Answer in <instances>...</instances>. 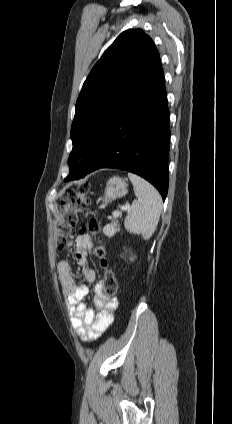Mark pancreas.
I'll list each match as a JSON object with an SVG mask.
<instances>
[{
    "label": "pancreas",
    "mask_w": 232,
    "mask_h": 424,
    "mask_svg": "<svg viewBox=\"0 0 232 424\" xmlns=\"http://www.w3.org/2000/svg\"><path fill=\"white\" fill-rule=\"evenodd\" d=\"M121 217V213L114 216V220L111 222V226L114 228L115 231H119V224H118V218Z\"/></svg>",
    "instance_id": "obj_1"
}]
</instances>
